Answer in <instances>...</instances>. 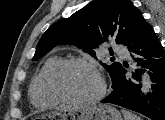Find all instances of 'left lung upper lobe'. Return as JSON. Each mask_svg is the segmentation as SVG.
Instances as JSON below:
<instances>
[{"label": "left lung upper lobe", "mask_w": 165, "mask_h": 120, "mask_svg": "<svg viewBox=\"0 0 165 120\" xmlns=\"http://www.w3.org/2000/svg\"><path fill=\"white\" fill-rule=\"evenodd\" d=\"M143 19L142 13L128 0H94L69 18L51 25L41 37L32 60L59 44H75L95 57L93 49L104 42L114 40L126 45ZM100 63L109 72L114 89L122 64Z\"/></svg>", "instance_id": "left-lung-upper-lobe-1"}]
</instances>
